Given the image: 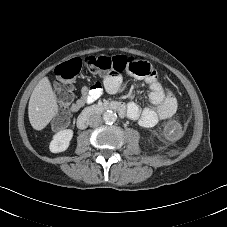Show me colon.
Returning <instances> with one entry per match:
<instances>
[{"label": "colon", "mask_w": 227, "mask_h": 227, "mask_svg": "<svg viewBox=\"0 0 227 227\" xmlns=\"http://www.w3.org/2000/svg\"><path fill=\"white\" fill-rule=\"evenodd\" d=\"M83 66L91 73L103 75H119L125 72L134 73L141 77H149L156 74L153 66L145 61H139L133 57L125 55L116 56H87L73 58L68 62L59 65L54 74L59 82V95L61 100L68 105L73 98L74 80L81 72ZM70 111L64 112L53 121L56 130L63 129L69 122Z\"/></svg>", "instance_id": "obj_1"}]
</instances>
